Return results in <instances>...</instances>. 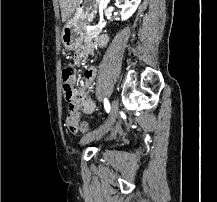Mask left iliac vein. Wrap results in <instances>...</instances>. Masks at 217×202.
I'll use <instances>...</instances> for the list:
<instances>
[{
    "label": "left iliac vein",
    "mask_w": 217,
    "mask_h": 202,
    "mask_svg": "<svg viewBox=\"0 0 217 202\" xmlns=\"http://www.w3.org/2000/svg\"><path fill=\"white\" fill-rule=\"evenodd\" d=\"M118 111H119L118 101L116 99H114L111 102L110 114H109V117L106 120L105 124L101 128H99L98 130L84 135L81 138V144L84 145L88 142H91V141L98 139V138L102 137L103 135H105L111 129V127L114 125V123L118 117Z\"/></svg>",
    "instance_id": "4c4485c4"
}]
</instances>
